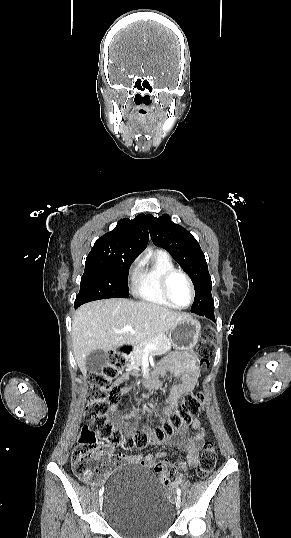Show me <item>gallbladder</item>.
Returning a JSON list of instances; mask_svg holds the SVG:
<instances>
[{
	"mask_svg": "<svg viewBox=\"0 0 291 538\" xmlns=\"http://www.w3.org/2000/svg\"><path fill=\"white\" fill-rule=\"evenodd\" d=\"M107 352L103 350H94L86 357V370L90 373L100 371L106 364Z\"/></svg>",
	"mask_w": 291,
	"mask_h": 538,
	"instance_id": "1",
	"label": "gallbladder"
}]
</instances>
